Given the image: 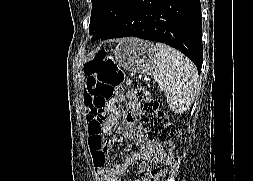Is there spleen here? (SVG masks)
<instances>
[{"label":"spleen","instance_id":"obj_1","mask_svg":"<svg viewBox=\"0 0 253 181\" xmlns=\"http://www.w3.org/2000/svg\"><path fill=\"white\" fill-rule=\"evenodd\" d=\"M155 76L165 91L169 107L175 113L189 109L198 89L195 65L175 49L156 43Z\"/></svg>","mask_w":253,"mask_h":181}]
</instances>
